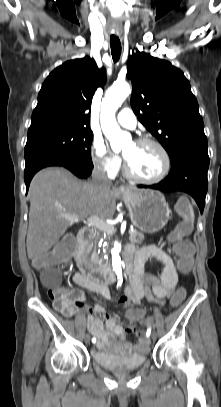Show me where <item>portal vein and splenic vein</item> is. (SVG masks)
I'll return each mask as SVG.
<instances>
[{
    "mask_svg": "<svg viewBox=\"0 0 221 407\" xmlns=\"http://www.w3.org/2000/svg\"><path fill=\"white\" fill-rule=\"evenodd\" d=\"M65 218L68 219L71 222L74 221H78L79 220V216L76 214L73 215H65ZM87 223L90 226H93L101 231L107 232V233H113L115 231L114 226L105 222L102 218H99L97 216H90L89 218H87ZM132 231H129V234Z\"/></svg>",
    "mask_w": 221,
    "mask_h": 407,
    "instance_id": "18ae733b",
    "label": "portal vein and splenic vein"
}]
</instances>
